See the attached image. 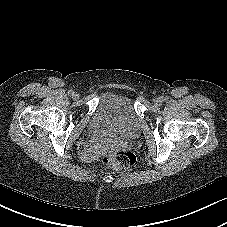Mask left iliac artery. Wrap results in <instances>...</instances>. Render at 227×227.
Returning a JSON list of instances; mask_svg holds the SVG:
<instances>
[{
    "label": "left iliac artery",
    "instance_id": "1",
    "mask_svg": "<svg viewBox=\"0 0 227 227\" xmlns=\"http://www.w3.org/2000/svg\"><path fill=\"white\" fill-rule=\"evenodd\" d=\"M161 100H162V101H166L167 98H166V97H161Z\"/></svg>",
    "mask_w": 227,
    "mask_h": 227
}]
</instances>
